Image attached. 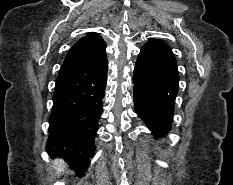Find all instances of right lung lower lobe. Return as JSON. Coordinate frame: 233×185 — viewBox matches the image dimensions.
<instances>
[{"instance_id":"1","label":"right lung lower lobe","mask_w":233,"mask_h":185,"mask_svg":"<svg viewBox=\"0 0 233 185\" xmlns=\"http://www.w3.org/2000/svg\"><path fill=\"white\" fill-rule=\"evenodd\" d=\"M107 69V58L99 63H64L56 81L47 151L63 157L79 176L95 151Z\"/></svg>"}]
</instances>
